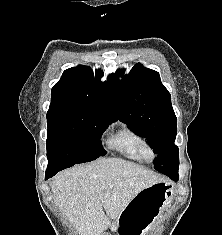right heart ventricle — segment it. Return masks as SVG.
<instances>
[{
    "label": "right heart ventricle",
    "instance_id": "obj_1",
    "mask_svg": "<svg viewBox=\"0 0 222 235\" xmlns=\"http://www.w3.org/2000/svg\"><path fill=\"white\" fill-rule=\"evenodd\" d=\"M109 146L124 158L147 163L153 158V149L149 141L128 126H123L109 141Z\"/></svg>",
    "mask_w": 222,
    "mask_h": 235
}]
</instances>
